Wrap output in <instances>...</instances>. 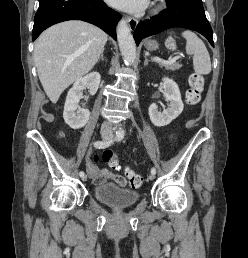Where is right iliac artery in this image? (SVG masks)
Here are the masks:
<instances>
[{
	"label": "right iliac artery",
	"mask_w": 248,
	"mask_h": 258,
	"mask_svg": "<svg viewBox=\"0 0 248 258\" xmlns=\"http://www.w3.org/2000/svg\"><path fill=\"white\" fill-rule=\"evenodd\" d=\"M119 135L116 136V139L118 138ZM115 139H110V140H104V141H96L94 143V147L101 149V148H106L109 147ZM80 177H83L85 175V173L83 171H81L79 173Z\"/></svg>",
	"instance_id": "obj_1"
}]
</instances>
